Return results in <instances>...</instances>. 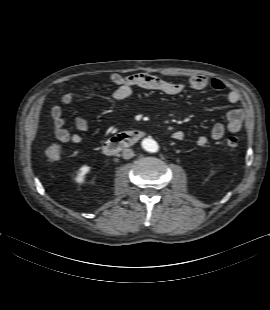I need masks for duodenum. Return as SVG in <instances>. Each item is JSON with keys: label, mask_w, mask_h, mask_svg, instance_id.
<instances>
[{"label": "duodenum", "mask_w": 270, "mask_h": 310, "mask_svg": "<svg viewBox=\"0 0 270 310\" xmlns=\"http://www.w3.org/2000/svg\"><path fill=\"white\" fill-rule=\"evenodd\" d=\"M143 135L144 132L140 130H132L116 134L103 143V152L107 155L117 154L123 149L133 146L143 137Z\"/></svg>", "instance_id": "410a0bca"}]
</instances>
